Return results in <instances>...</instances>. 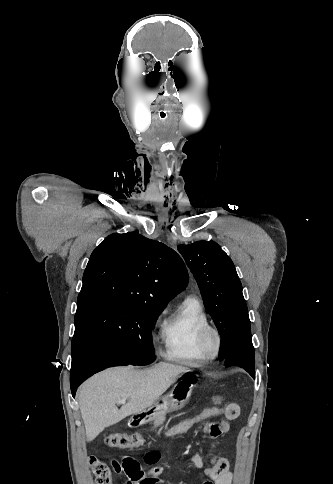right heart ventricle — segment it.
<instances>
[{
    "label": "right heart ventricle",
    "instance_id": "e07e8e85",
    "mask_svg": "<svg viewBox=\"0 0 333 484\" xmlns=\"http://www.w3.org/2000/svg\"><path fill=\"white\" fill-rule=\"evenodd\" d=\"M208 315L195 297H187L164 320L160 336L164 356L172 361L200 366L206 358L198 347L201 329L209 325Z\"/></svg>",
    "mask_w": 333,
    "mask_h": 484
}]
</instances>
